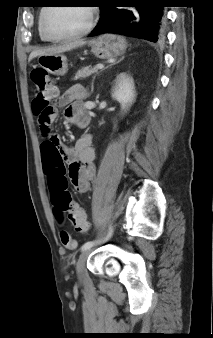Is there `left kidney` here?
Masks as SVG:
<instances>
[{
  "instance_id": "1",
  "label": "left kidney",
  "mask_w": 213,
  "mask_h": 338,
  "mask_svg": "<svg viewBox=\"0 0 213 338\" xmlns=\"http://www.w3.org/2000/svg\"><path fill=\"white\" fill-rule=\"evenodd\" d=\"M112 97L122 106V111L126 112L135 100L136 92L133 80L125 73L118 76L116 85L112 90Z\"/></svg>"
}]
</instances>
